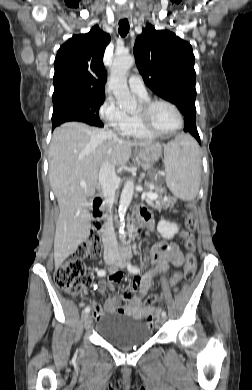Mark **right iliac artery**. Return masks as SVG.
<instances>
[{
    "instance_id": "82829eb1",
    "label": "right iliac artery",
    "mask_w": 252,
    "mask_h": 390,
    "mask_svg": "<svg viewBox=\"0 0 252 390\" xmlns=\"http://www.w3.org/2000/svg\"><path fill=\"white\" fill-rule=\"evenodd\" d=\"M98 276L102 277V276H105L106 275V271L104 269H100L98 272H97ZM90 312V307L87 306L85 309H84V312L83 314H87Z\"/></svg>"
}]
</instances>
